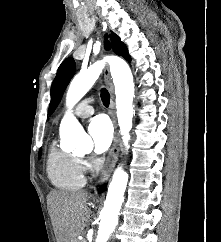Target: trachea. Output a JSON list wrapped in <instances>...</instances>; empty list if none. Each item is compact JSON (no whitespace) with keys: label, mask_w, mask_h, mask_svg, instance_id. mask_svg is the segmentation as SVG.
<instances>
[{"label":"trachea","mask_w":221,"mask_h":242,"mask_svg":"<svg viewBox=\"0 0 221 242\" xmlns=\"http://www.w3.org/2000/svg\"><path fill=\"white\" fill-rule=\"evenodd\" d=\"M101 100H102L103 105L105 107H108L109 106V103H110V94H109V92L105 88L101 89Z\"/></svg>","instance_id":"trachea-1"}]
</instances>
